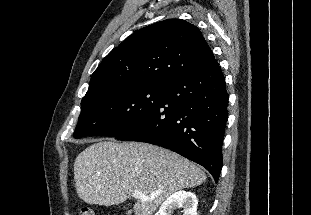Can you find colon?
<instances>
[{"label":"colon","instance_id":"colon-1","mask_svg":"<svg viewBox=\"0 0 311 215\" xmlns=\"http://www.w3.org/2000/svg\"><path fill=\"white\" fill-rule=\"evenodd\" d=\"M79 215H95L94 211L90 208H82Z\"/></svg>","mask_w":311,"mask_h":215}]
</instances>
